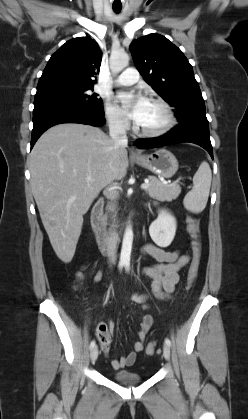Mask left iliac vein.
<instances>
[{
    "label": "left iliac vein",
    "instance_id": "4c4485c4",
    "mask_svg": "<svg viewBox=\"0 0 248 419\" xmlns=\"http://www.w3.org/2000/svg\"><path fill=\"white\" fill-rule=\"evenodd\" d=\"M163 356L166 360H170V348L167 344L163 345Z\"/></svg>",
    "mask_w": 248,
    "mask_h": 419
}]
</instances>
